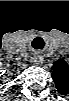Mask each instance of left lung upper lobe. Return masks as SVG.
Wrapping results in <instances>:
<instances>
[{"label":"left lung upper lobe","instance_id":"obj_1","mask_svg":"<svg viewBox=\"0 0 69 101\" xmlns=\"http://www.w3.org/2000/svg\"><path fill=\"white\" fill-rule=\"evenodd\" d=\"M52 70V78L56 84L57 90L65 94L69 85V68L67 63L63 59H60L54 63Z\"/></svg>","mask_w":69,"mask_h":101}]
</instances>
